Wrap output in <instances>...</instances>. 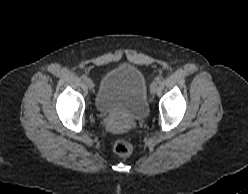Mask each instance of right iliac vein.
I'll return each instance as SVG.
<instances>
[{
    "label": "right iliac vein",
    "mask_w": 248,
    "mask_h": 194,
    "mask_svg": "<svg viewBox=\"0 0 248 194\" xmlns=\"http://www.w3.org/2000/svg\"><path fill=\"white\" fill-rule=\"evenodd\" d=\"M86 86L89 88V89H92L93 86H94V83L91 79H87L86 80Z\"/></svg>",
    "instance_id": "right-iliac-vein-1"
}]
</instances>
